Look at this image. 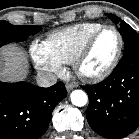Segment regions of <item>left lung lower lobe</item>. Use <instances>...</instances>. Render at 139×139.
<instances>
[{
	"mask_svg": "<svg viewBox=\"0 0 139 139\" xmlns=\"http://www.w3.org/2000/svg\"><path fill=\"white\" fill-rule=\"evenodd\" d=\"M89 96L86 116L91 128L108 139H119L139 126V48L124 56L104 81L83 86Z\"/></svg>",
	"mask_w": 139,
	"mask_h": 139,
	"instance_id": "left-lung-lower-lobe-1",
	"label": "left lung lower lobe"
}]
</instances>
